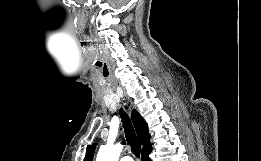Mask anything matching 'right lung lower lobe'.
Instances as JSON below:
<instances>
[{
    "label": "right lung lower lobe",
    "instance_id": "obj_1",
    "mask_svg": "<svg viewBox=\"0 0 261 161\" xmlns=\"http://www.w3.org/2000/svg\"><path fill=\"white\" fill-rule=\"evenodd\" d=\"M150 152H151V151H148V152L142 153L141 161H151L150 158H149V154H150Z\"/></svg>",
    "mask_w": 261,
    "mask_h": 161
}]
</instances>
